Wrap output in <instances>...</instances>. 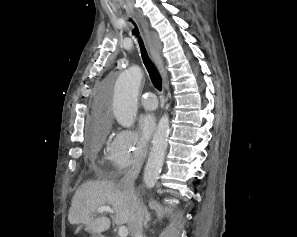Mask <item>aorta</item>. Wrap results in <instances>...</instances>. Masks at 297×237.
<instances>
[{
    "label": "aorta",
    "instance_id": "aorta-1",
    "mask_svg": "<svg viewBox=\"0 0 297 237\" xmlns=\"http://www.w3.org/2000/svg\"><path fill=\"white\" fill-rule=\"evenodd\" d=\"M143 78L142 69L135 65L120 74L115 83L113 113L117 122L125 127L134 125L138 109V93ZM169 135V117L164 115L153 138V146L144 171L147 188H153L163 166L167 138Z\"/></svg>",
    "mask_w": 297,
    "mask_h": 237
}]
</instances>
